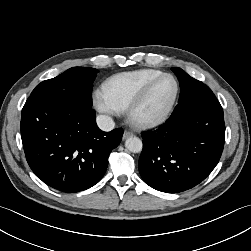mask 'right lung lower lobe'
<instances>
[{
  "label": "right lung lower lobe",
  "instance_id": "1",
  "mask_svg": "<svg viewBox=\"0 0 251 251\" xmlns=\"http://www.w3.org/2000/svg\"><path fill=\"white\" fill-rule=\"evenodd\" d=\"M122 135V129L101 131L92 107L29 97L22 109L21 137L27 162L43 182L63 192L95 185Z\"/></svg>",
  "mask_w": 251,
  "mask_h": 251
}]
</instances>
